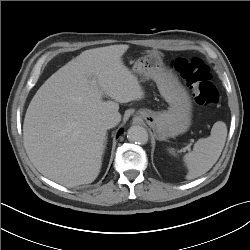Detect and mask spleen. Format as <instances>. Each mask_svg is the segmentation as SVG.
Instances as JSON below:
<instances>
[{"mask_svg":"<svg viewBox=\"0 0 250 250\" xmlns=\"http://www.w3.org/2000/svg\"><path fill=\"white\" fill-rule=\"evenodd\" d=\"M227 137V126L222 121L214 123L211 135L199 139L193 151L184 155V162L188 169L187 179L191 180L209 171L219 159ZM171 153L174 151L171 149Z\"/></svg>","mask_w":250,"mask_h":250,"instance_id":"1","label":"spleen"}]
</instances>
